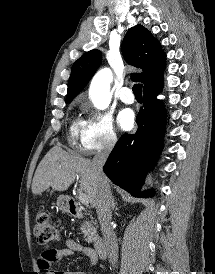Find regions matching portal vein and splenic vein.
I'll list each match as a JSON object with an SVG mask.
<instances>
[{"instance_id": "1", "label": "portal vein and splenic vein", "mask_w": 215, "mask_h": 274, "mask_svg": "<svg viewBox=\"0 0 215 274\" xmlns=\"http://www.w3.org/2000/svg\"><path fill=\"white\" fill-rule=\"evenodd\" d=\"M78 199L84 205H88L89 204L88 197L84 193H79Z\"/></svg>"}]
</instances>
